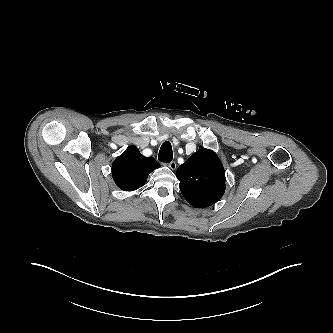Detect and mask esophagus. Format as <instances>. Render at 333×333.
Segmentation results:
<instances>
[{"instance_id":"34e87169","label":"esophagus","mask_w":333,"mask_h":333,"mask_svg":"<svg viewBox=\"0 0 333 333\" xmlns=\"http://www.w3.org/2000/svg\"><path fill=\"white\" fill-rule=\"evenodd\" d=\"M168 166H169L172 170H175L176 167H177V164H176L175 161H172V162H170V163L168 164Z\"/></svg>"}]
</instances>
